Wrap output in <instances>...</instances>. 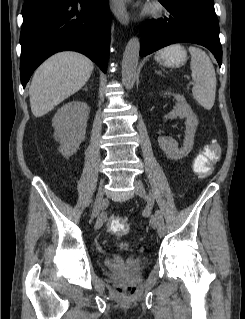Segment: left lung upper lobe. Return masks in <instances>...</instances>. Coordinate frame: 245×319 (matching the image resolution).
Masks as SVG:
<instances>
[{
    "label": "left lung upper lobe",
    "mask_w": 245,
    "mask_h": 319,
    "mask_svg": "<svg viewBox=\"0 0 245 319\" xmlns=\"http://www.w3.org/2000/svg\"><path fill=\"white\" fill-rule=\"evenodd\" d=\"M172 1H188V2H192L196 5H199L201 7H204L206 9H209L211 11H215L214 10V0H172Z\"/></svg>",
    "instance_id": "obj_1"
}]
</instances>
